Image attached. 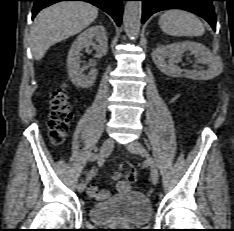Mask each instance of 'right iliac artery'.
<instances>
[{
  "mask_svg": "<svg viewBox=\"0 0 234 231\" xmlns=\"http://www.w3.org/2000/svg\"><path fill=\"white\" fill-rule=\"evenodd\" d=\"M96 159H97V154H95V153H92V154L89 156V161H90V162H94ZM94 174H95V170L92 169V170L88 173L84 185H86V184H88V183L90 182V180L92 179V177L94 176Z\"/></svg>",
  "mask_w": 234,
  "mask_h": 231,
  "instance_id": "1",
  "label": "right iliac artery"
}]
</instances>
